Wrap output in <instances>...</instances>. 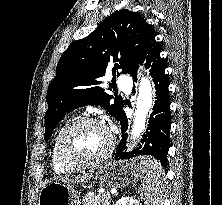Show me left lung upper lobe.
I'll return each mask as SVG.
<instances>
[{
    "label": "left lung upper lobe",
    "instance_id": "1",
    "mask_svg": "<svg viewBox=\"0 0 222 205\" xmlns=\"http://www.w3.org/2000/svg\"><path fill=\"white\" fill-rule=\"evenodd\" d=\"M153 33L144 17L123 9L103 20L87 37L73 42L62 54L47 91L44 139L51 137L67 112L81 106L100 105L118 119L123 99L116 96L111 103L113 96L100 86L99 78L112 64L114 75L119 69L122 74L129 73Z\"/></svg>",
    "mask_w": 222,
    "mask_h": 205
}]
</instances>
